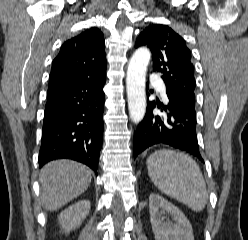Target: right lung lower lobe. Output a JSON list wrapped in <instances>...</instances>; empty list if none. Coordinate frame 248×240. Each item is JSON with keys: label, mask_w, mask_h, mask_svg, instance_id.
<instances>
[{"label": "right lung lower lobe", "mask_w": 248, "mask_h": 240, "mask_svg": "<svg viewBox=\"0 0 248 240\" xmlns=\"http://www.w3.org/2000/svg\"><path fill=\"white\" fill-rule=\"evenodd\" d=\"M106 74L47 92L40 166L61 158L79 161L96 174L103 139Z\"/></svg>", "instance_id": "right-lung-lower-lobe-1"}]
</instances>
